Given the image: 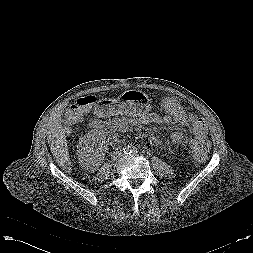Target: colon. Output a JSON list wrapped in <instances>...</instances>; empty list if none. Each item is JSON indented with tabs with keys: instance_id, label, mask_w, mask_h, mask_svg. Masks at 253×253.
Returning a JSON list of instances; mask_svg holds the SVG:
<instances>
[{
	"instance_id": "5ec220e1",
	"label": "colon",
	"mask_w": 253,
	"mask_h": 253,
	"mask_svg": "<svg viewBox=\"0 0 253 253\" xmlns=\"http://www.w3.org/2000/svg\"><path fill=\"white\" fill-rule=\"evenodd\" d=\"M95 103V97L86 96L77 99L75 102L70 104L65 111L64 119L68 125H75L80 122L90 111ZM202 125L203 128V136L201 139V143L206 147L207 152L210 147V142L207 136V126L203 119L196 118Z\"/></svg>"
}]
</instances>
